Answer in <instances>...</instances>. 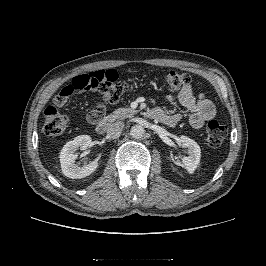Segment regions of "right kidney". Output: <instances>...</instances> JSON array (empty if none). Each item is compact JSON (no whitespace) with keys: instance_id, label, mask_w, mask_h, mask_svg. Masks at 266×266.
<instances>
[{"instance_id":"right-kidney-1","label":"right kidney","mask_w":266,"mask_h":266,"mask_svg":"<svg viewBox=\"0 0 266 266\" xmlns=\"http://www.w3.org/2000/svg\"><path fill=\"white\" fill-rule=\"evenodd\" d=\"M90 144L91 137L88 135H81L64 145L60 153V163L62 172L65 176L72 179H81L89 176L96 170L98 167V162L96 160L82 167L75 164V160L78 157L75 151L78 148L82 150L87 149Z\"/></svg>"}]
</instances>
